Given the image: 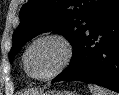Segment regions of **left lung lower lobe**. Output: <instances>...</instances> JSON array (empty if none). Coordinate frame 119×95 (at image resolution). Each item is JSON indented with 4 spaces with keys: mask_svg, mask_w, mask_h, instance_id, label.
<instances>
[{
    "mask_svg": "<svg viewBox=\"0 0 119 95\" xmlns=\"http://www.w3.org/2000/svg\"><path fill=\"white\" fill-rule=\"evenodd\" d=\"M64 80L97 84L119 93V0L95 17L70 65L52 83Z\"/></svg>",
    "mask_w": 119,
    "mask_h": 95,
    "instance_id": "left-lung-lower-lobe-1",
    "label": "left lung lower lobe"
}]
</instances>
